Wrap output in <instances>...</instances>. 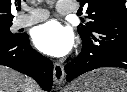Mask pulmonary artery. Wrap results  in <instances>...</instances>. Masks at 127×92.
Instances as JSON below:
<instances>
[{"mask_svg": "<svg viewBox=\"0 0 127 92\" xmlns=\"http://www.w3.org/2000/svg\"><path fill=\"white\" fill-rule=\"evenodd\" d=\"M56 9L60 14L72 13L75 9L72 4L65 1H58ZM27 15L19 16L15 20V25L17 28H22L26 26L33 25L35 23L46 20L49 17V13L46 9H26Z\"/></svg>", "mask_w": 127, "mask_h": 92, "instance_id": "obj_1", "label": "pulmonary artery"}]
</instances>
